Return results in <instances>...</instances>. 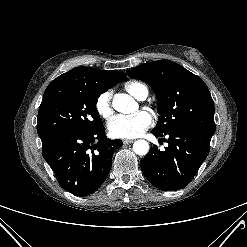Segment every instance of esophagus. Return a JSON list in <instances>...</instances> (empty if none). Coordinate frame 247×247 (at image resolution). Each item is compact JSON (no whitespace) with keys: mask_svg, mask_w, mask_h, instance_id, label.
Masks as SVG:
<instances>
[{"mask_svg":"<svg viewBox=\"0 0 247 247\" xmlns=\"http://www.w3.org/2000/svg\"><path fill=\"white\" fill-rule=\"evenodd\" d=\"M133 142H134V140H129V139H124L123 140V144H131Z\"/></svg>","mask_w":247,"mask_h":247,"instance_id":"obj_1","label":"esophagus"}]
</instances>
